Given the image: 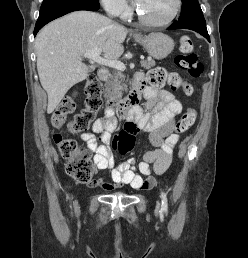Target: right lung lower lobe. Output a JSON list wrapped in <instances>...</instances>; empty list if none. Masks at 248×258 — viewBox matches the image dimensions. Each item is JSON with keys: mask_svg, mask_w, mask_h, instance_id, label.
I'll use <instances>...</instances> for the list:
<instances>
[{"mask_svg": "<svg viewBox=\"0 0 248 258\" xmlns=\"http://www.w3.org/2000/svg\"><path fill=\"white\" fill-rule=\"evenodd\" d=\"M99 8H100L99 2L81 1V2L64 5V6L55 7L43 13H40L39 18L35 25L34 36L45 24L69 12L76 11V10L97 11Z\"/></svg>", "mask_w": 248, "mask_h": 258, "instance_id": "1", "label": "right lung lower lobe"}]
</instances>
